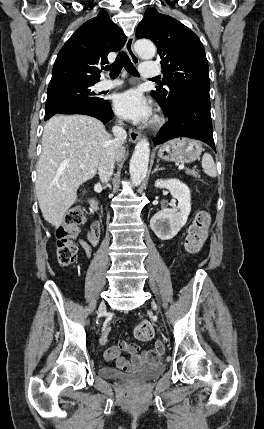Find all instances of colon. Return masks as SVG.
I'll return each mask as SVG.
<instances>
[{"label":"colon","mask_w":264,"mask_h":429,"mask_svg":"<svg viewBox=\"0 0 264 429\" xmlns=\"http://www.w3.org/2000/svg\"><path fill=\"white\" fill-rule=\"evenodd\" d=\"M85 217L80 208L69 210L64 216L61 226L56 231L57 257L61 266L72 265L77 258V245L75 239L79 234V228L84 223ZM210 223V215L207 211H199L190 224L185 238L184 246L187 252L194 254L200 251L206 237ZM135 337L140 341H148L154 335L153 326L142 321L134 330ZM162 346V343L159 344Z\"/></svg>","instance_id":"obj_1"}]
</instances>
